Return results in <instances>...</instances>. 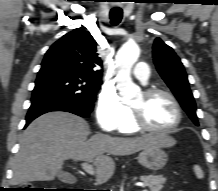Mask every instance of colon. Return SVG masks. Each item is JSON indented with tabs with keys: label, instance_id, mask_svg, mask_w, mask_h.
<instances>
[{
	"label": "colon",
	"instance_id": "1",
	"mask_svg": "<svg viewBox=\"0 0 218 191\" xmlns=\"http://www.w3.org/2000/svg\"><path fill=\"white\" fill-rule=\"evenodd\" d=\"M22 191H45V190L36 186H27L26 188H23Z\"/></svg>",
	"mask_w": 218,
	"mask_h": 191
}]
</instances>
